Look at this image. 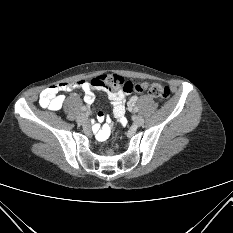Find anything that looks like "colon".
<instances>
[{
    "label": "colon",
    "mask_w": 233,
    "mask_h": 233,
    "mask_svg": "<svg viewBox=\"0 0 233 233\" xmlns=\"http://www.w3.org/2000/svg\"><path fill=\"white\" fill-rule=\"evenodd\" d=\"M103 84L107 85L109 89H120L125 93H148L151 97L165 101L170 95V90L167 86L157 83H133L122 76L116 74H104Z\"/></svg>",
    "instance_id": "1"
}]
</instances>
